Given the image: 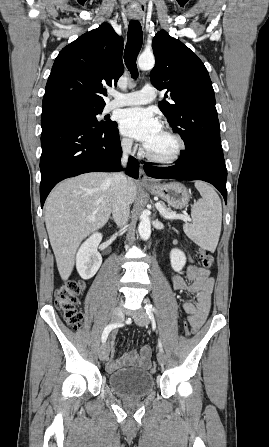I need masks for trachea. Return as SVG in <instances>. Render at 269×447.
I'll return each mask as SVG.
<instances>
[{
  "mask_svg": "<svg viewBox=\"0 0 269 447\" xmlns=\"http://www.w3.org/2000/svg\"><path fill=\"white\" fill-rule=\"evenodd\" d=\"M143 42L142 27L140 22L132 20L128 27V40L124 51V61L132 78L138 77L136 60Z\"/></svg>",
  "mask_w": 269,
  "mask_h": 447,
  "instance_id": "trachea-1",
  "label": "trachea"
}]
</instances>
